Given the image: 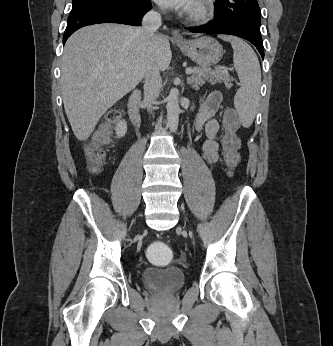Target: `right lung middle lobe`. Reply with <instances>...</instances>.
<instances>
[{
    "label": "right lung middle lobe",
    "mask_w": 333,
    "mask_h": 346,
    "mask_svg": "<svg viewBox=\"0 0 333 346\" xmlns=\"http://www.w3.org/2000/svg\"><path fill=\"white\" fill-rule=\"evenodd\" d=\"M134 0H72V10L95 5V4H116L122 7H127L133 3Z\"/></svg>",
    "instance_id": "dd1d6c3e"
}]
</instances>
